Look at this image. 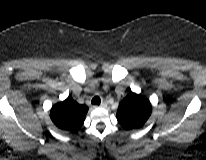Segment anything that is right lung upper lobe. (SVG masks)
Here are the masks:
<instances>
[{"label": "right lung upper lobe", "mask_w": 206, "mask_h": 160, "mask_svg": "<svg viewBox=\"0 0 206 160\" xmlns=\"http://www.w3.org/2000/svg\"><path fill=\"white\" fill-rule=\"evenodd\" d=\"M88 112L86 105L78 104L71 97L53 105L50 117L52 122L61 130L76 133L85 120Z\"/></svg>", "instance_id": "obj_1"}]
</instances>
